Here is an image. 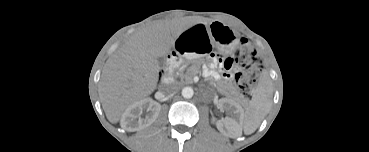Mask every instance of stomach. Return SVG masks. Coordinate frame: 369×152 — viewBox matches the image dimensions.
Wrapping results in <instances>:
<instances>
[{
	"label": "stomach",
	"mask_w": 369,
	"mask_h": 152,
	"mask_svg": "<svg viewBox=\"0 0 369 152\" xmlns=\"http://www.w3.org/2000/svg\"><path fill=\"white\" fill-rule=\"evenodd\" d=\"M210 32L213 42L222 50L229 51L235 46L237 36L228 26L214 22L211 24Z\"/></svg>",
	"instance_id": "0dacf381"
}]
</instances>
